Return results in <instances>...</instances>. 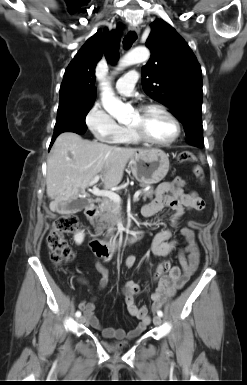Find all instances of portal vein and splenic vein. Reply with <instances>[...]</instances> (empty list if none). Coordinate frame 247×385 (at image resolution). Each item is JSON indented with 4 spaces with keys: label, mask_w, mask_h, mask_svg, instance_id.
I'll return each instance as SVG.
<instances>
[{
    "label": "portal vein and splenic vein",
    "mask_w": 247,
    "mask_h": 385,
    "mask_svg": "<svg viewBox=\"0 0 247 385\" xmlns=\"http://www.w3.org/2000/svg\"><path fill=\"white\" fill-rule=\"evenodd\" d=\"M100 179V176L97 175L95 176L89 183L88 185L89 186H92L94 184H96ZM92 193L96 196H102V197H107L109 198L110 200L114 201L115 203L117 204H120L121 203V198L120 196L113 192V191H109V190H99L98 188L94 187L93 190H92ZM141 194V191L138 190L135 192L134 194V201L138 200L139 199V196Z\"/></svg>",
    "instance_id": "obj_1"
}]
</instances>
